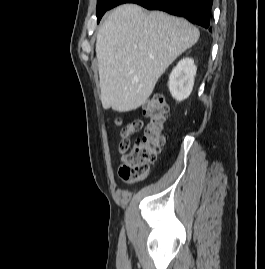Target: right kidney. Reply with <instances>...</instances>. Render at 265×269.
<instances>
[{
  "label": "right kidney",
  "mask_w": 265,
  "mask_h": 269,
  "mask_svg": "<svg viewBox=\"0 0 265 269\" xmlns=\"http://www.w3.org/2000/svg\"><path fill=\"white\" fill-rule=\"evenodd\" d=\"M197 67L191 58L182 59L169 77V90L173 98L182 101L189 97L194 86Z\"/></svg>",
  "instance_id": "ca27d5eb"
}]
</instances>
